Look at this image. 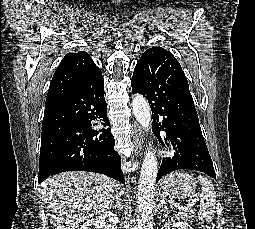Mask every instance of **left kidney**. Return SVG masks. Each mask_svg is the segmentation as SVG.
<instances>
[{"instance_id":"1","label":"left kidney","mask_w":255,"mask_h":229,"mask_svg":"<svg viewBox=\"0 0 255 229\" xmlns=\"http://www.w3.org/2000/svg\"><path fill=\"white\" fill-rule=\"evenodd\" d=\"M173 229H193L187 223L177 222L173 224Z\"/></svg>"}]
</instances>
